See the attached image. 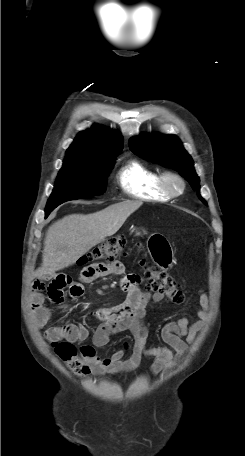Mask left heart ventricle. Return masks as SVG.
I'll use <instances>...</instances> for the list:
<instances>
[{
  "mask_svg": "<svg viewBox=\"0 0 245 456\" xmlns=\"http://www.w3.org/2000/svg\"><path fill=\"white\" fill-rule=\"evenodd\" d=\"M174 186H175V187H177V184H176V183H174Z\"/></svg>",
  "mask_w": 245,
  "mask_h": 456,
  "instance_id": "obj_1",
  "label": "left heart ventricle"
}]
</instances>
